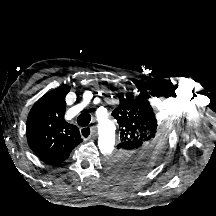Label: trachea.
Returning a JSON list of instances; mask_svg holds the SVG:
<instances>
[{
  "label": "trachea",
  "instance_id": "trachea-1",
  "mask_svg": "<svg viewBox=\"0 0 216 216\" xmlns=\"http://www.w3.org/2000/svg\"><path fill=\"white\" fill-rule=\"evenodd\" d=\"M91 121V115L88 113H82L77 118V123L81 127L87 126ZM89 135V132L85 134L84 136L87 137Z\"/></svg>",
  "mask_w": 216,
  "mask_h": 216
}]
</instances>
